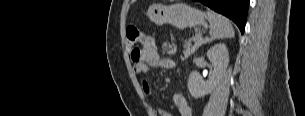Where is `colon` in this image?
I'll use <instances>...</instances> for the list:
<instances>
[{"instance_id":"obj_1","label":"colon","mask_w":305,"mask_h":116,"mask_svg":"<svg viewBox=\"0 0 305 116\" xmlns=\"http://www.w3.org/2000/svg\"><path fill=\"white\" fill-rule=\"evenodd\" d=\"M149 41V37L145 36L139 31V29L133 25H130L126 29V47L131 57L138 56V49L135 48L137 43L146 44Z\"/></svg>"}]
</instances>
